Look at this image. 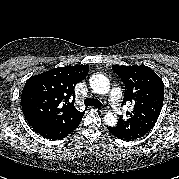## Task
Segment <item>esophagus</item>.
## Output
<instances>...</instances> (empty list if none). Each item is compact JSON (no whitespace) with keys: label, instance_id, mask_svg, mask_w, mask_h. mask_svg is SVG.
<instances>
[{"label":"esophagus","instance_id":"esophagus-1","mask_svg":"<svg viewBox=\"0 0 179 179\" xmlns=\"http://www.w3.org/2000/svg\"><path fill=\"white\" fill-rule=\"evenodd\" d=\"M99 111H100L101 113H104V112L107 111V110H106L105 107H100V108H99Z\"/></svg>","mask_w":179,"mask_h":179}]
</instances>
